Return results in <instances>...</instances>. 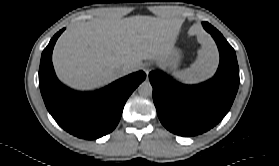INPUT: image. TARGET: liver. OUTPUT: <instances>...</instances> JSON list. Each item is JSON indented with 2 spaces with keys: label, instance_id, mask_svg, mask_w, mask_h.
Returning <instances> with one entry per match:
<instances>
[{
  "label": "liver",
  "instance_id": "obj_1",
  "mask_svg": "<svg viewBox=\"0 0 279 166\" xmlns=\"http://www.w3.org/2000/svg\"><path fill=\"white\" fill-rule=\"evenodd\" d=\"M182 20L115 16L77 24L58 40L53 64L58 77L79 90L94 89L122 76L123 65L135 70L142 60H160L174 47Z\"/></svg>",
  "mask_w": 279,
  "mask_h": 166
}]
</instances>
